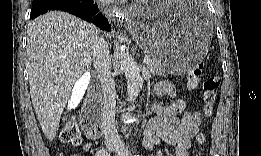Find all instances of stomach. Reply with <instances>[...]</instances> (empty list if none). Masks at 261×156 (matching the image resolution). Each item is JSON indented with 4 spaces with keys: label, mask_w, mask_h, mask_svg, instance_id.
Listing matches in <instances>:
<instances>
[{
    "label": "stomach",
    "mask_w": 261,
    "mask_h": 156,
    "mask_svg": "<svg viewBox=\"0 0 261 156\" xmlns=\"http://www.w3.org/2000/svg\"><path fill=\"white\" fill-rule=\"evenodd\" d=\"M191 2H137L126 15L128 29L144 52L172 74L194 68L207 54L212 25Z\"/></svg>",
    "instance_id": "obj_1"
}]
</instances>
